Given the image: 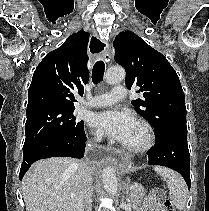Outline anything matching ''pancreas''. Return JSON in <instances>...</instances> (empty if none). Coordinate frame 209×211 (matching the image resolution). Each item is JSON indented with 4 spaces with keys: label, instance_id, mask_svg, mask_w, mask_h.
<instances>
[{
    "label": "pancreas",
    "instance_id": "cf45deb5",
    "mask_svg": "<svg viewBox=\"0 0 209 211\" xmlns=\"http://www.w3.org/2000/svg\"><path fill=\"white\" fill-rule=\"evenodd\" d=\"M146 190L141 184H135L128 192V202L134 210L138 209L145 196Z\"/></svg>",
    "mask_w": 209,
    "mask_h": 211
}]
</instances>
